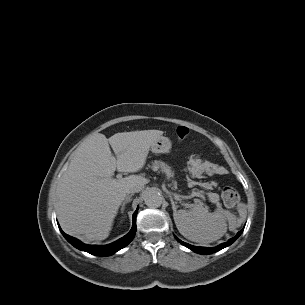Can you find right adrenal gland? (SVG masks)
I'll list each match as a JSON object with an SVG mask.
<instances>
[{
    "instance_id": "2a0ac1e0",
    "label": "right adrenal gland",
    "mask_w": 305,
    "mask_h": 305,
    "mask_svg": "<svg viewBox=\"0 0 305 305\" xmlns=\"http://www.w3.org/2000/svg\"><path fill=\"white\" fill-rule=\"evenodd\" d=\"M133 194H130L128 196H126L125 200L123 201L122 205H121V213L124 212L125 209V204L129 203L131 201V197Z\"/></svg>"
}]
</instances>
